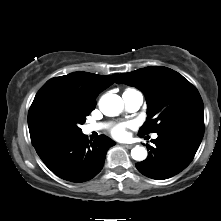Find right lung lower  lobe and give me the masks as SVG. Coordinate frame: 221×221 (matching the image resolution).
Masks as SVG:
<instances>
[{
    "label": "right lung lower lobe",
    "mask_w": 221,
    "mask_h": 221,
    "mask_svg": "<svg viewBox=\"0 0 221 221\" xmlns=\"http://www.w3.org/2000/svg\"><path fill=\"white\" fill-rule=\"evenodd\" d=\"M45 165L58 177L75 183L88 181L102 169L106 152L115 142L100 135L93 142L86 135L62 134L31 139Z\"/></svg>",
    "instance_id": "1"
}]
</instances>
